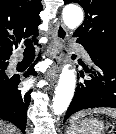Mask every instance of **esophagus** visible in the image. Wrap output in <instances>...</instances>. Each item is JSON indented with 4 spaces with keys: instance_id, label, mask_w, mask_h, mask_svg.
Instances as JSON below:
<instances>
[{
    "instance_id": "1",
    "label": "esophagus",
    "mask_w": 116,
    "mask_h": 134,
    "mask_svg": "<svg viewBox=\"0 0 116 134\" xmlns=\"http://www.w3.org/2000/svg\"><path fill=\"white\" fill-rule=\"evenodd\" d=\"M67 38V30L62 23H57L55 25L54 39L49 45L48 51L50 57L52 58V65L48 70L49 81L55 80L58 77L62 66V58L58 56L59 46L62 45Z\"/></svg>"
}]
</instances>
